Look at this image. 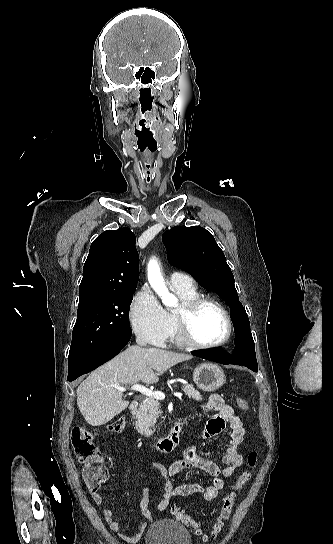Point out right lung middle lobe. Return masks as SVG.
<instances>
[{
    "instance_id": "obj_1",
    "label": "right lung middle lobe",
    "mask_w": 333,
    "mask_h": 544,
    "mask_svg": "<svg viewBox=\"0 0 333 544\" xmlns=\"http://www.w3.org/2000/svg\"><path fill=\"white\" fill-rule=\"evenodd\" d=\"M133 291L107 292L78 305L68 362L84 356L103 340L121 332H130L129 308Z\"/></svg>"
}]
</instances>
